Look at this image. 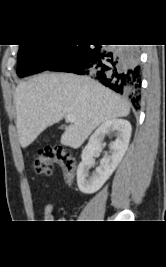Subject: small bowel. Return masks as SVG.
Listing matches in <instances>:
<instances>
[{
  "label": "small bowel",
  "mask_w": 166,
  "mask_h": 267,
  "mask_svg": "<svg viewBox=\"0 0 166 267\" xmlns=\"http://www.w3.org/2000/svg\"><path fill=\"white\" fill-rule=\"evenodd\" d=\"M72 181H67L68 184H72ZM45 222H54L57 219V214L52 204H46L43 209Z\"/></svg>",
  "instance_id": "c3829d8e"
}]
</instances>
